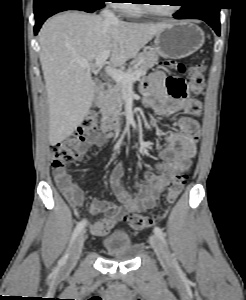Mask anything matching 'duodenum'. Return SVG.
Wrapping results in <instances>:
<instances>
[{"mask_svg": "<svg viewBox=\"0 0 246 300\" xmlns=\"http://www.w3.org/2000/svg\"><path fill=\"white\" fill-rule=\"evenodd\" d=\"M109 85L107 83L102 84V93H106ZM120 120L118 118L108 117L104 120L102 128L104 131L115 130L119 128Z\"/></svg>", "mask_w": 246, "mask_h": 300, "instance_id": "410a0bca", "label": "duodenum"}]
</instances>
